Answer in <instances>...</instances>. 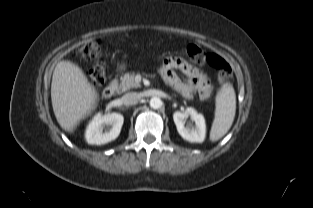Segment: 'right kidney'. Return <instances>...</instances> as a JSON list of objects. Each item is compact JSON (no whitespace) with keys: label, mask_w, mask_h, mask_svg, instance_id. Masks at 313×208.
I'll list each match as a JSON object with an SVG mask.
<instances>
[{"label":"right kidney","mask_w":313,"mask_h":208,"mask_svg":"<svg viewBox=\"0 0 313 208\" xmlns=\"http://www.w3.org/2000/svg\"><path fill=\"white\" fill-rule=\"evenodd\" d=\"M123 122L124 117L120 113H98L87 126L86 141L89 144L102 145L115 140L120 134Z\"/></svg>","instance_id":"1"}]
</instances>
